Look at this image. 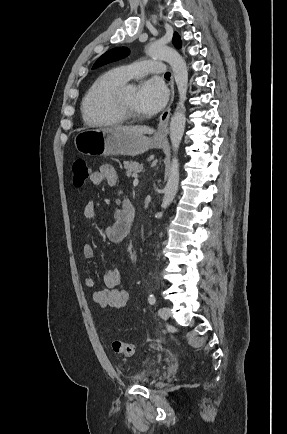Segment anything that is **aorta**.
I'll return each mask as SVG.
<instances>
[{
  "instance_id": "aorta-1",
  "label": "aorta",
  "mask_w": 287,
  "mask_h": 434,
  "mask_svg": "<svg viewBox=\"0 0 287 434\" xmlns=\"http://www.w3.org/2000/svg\"><path fill=\"white\" fill-rule=\"evenodd\" d=\"M146 53L153 58H158L169 63L179 92V102L170 121V140L174 156L169 170L167 184L161 207L166 209L174 200L179 185V161L177 152L185 129V100L188 89V70L183 57L173 48L159 42L147 46ZM162 215V212L160 213Z\"/></svg>"
}]
</instances>
